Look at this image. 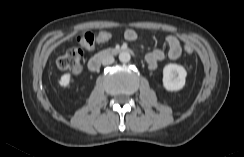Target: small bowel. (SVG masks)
Listing matches in <instances>:
<instances>
[{"label": "small bowel", "mask_w": 244, "mask_h": 157, "mask_svg": "<svg viewBox=\"0 0 244 157\" xmlns=\"http://www.w3.org/2000/svg\"><path fill=\"white\" fill-rule=\"evenodd\" d=\"M124 38L129 42L135 41L137 39V33L133 29H127L124 32ZM166 42L168 44L167 53L162 50L155 49L146 54L145 60L151 70L156 69L158 63L165 60L166 58L170 60H176L181 56L182 46L180 40L176 36H167Z\"/></svg>", "instance_id": "small-bowel-1"}]
</instances>
